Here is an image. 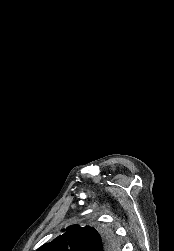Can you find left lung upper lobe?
Here are the masks:
<instances>
[{
    "mask_svg": "<svg viewBox=\"0 0 174 251\" xmlns=\"http://www.w3.org/2000/svg\"><path fill=\"white\" fill-rule=\"evenodd\" d=\"M118 247L117 240L106 229L97 231L89 226L73 225L37 251H116Z\"/></svg>",
    "mask_w": 174,
    "mask_h": 251,
    "instance_id": "5c2ea615",
    "label": "left lung upper lobe"
}]
</instances>
